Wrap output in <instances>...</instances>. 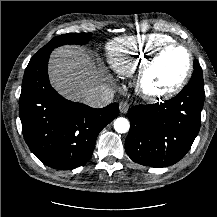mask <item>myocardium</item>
Returning a JSON list of instances; mask_svg holds the SVG:
<instances>
[{
    "label": "myocardium",
    "instance_id": "1",
    "mask_svg": "<svg viewBox=\"0 0 217 217\" xmlns=\"http://www.w3.org/2000/svg\"><path fill=\"white\" fill-rule=\"evenodd\" d=\"M170 49L183 50L188 58L187 69L181 78L169 89L163 91H153L147 85L149 74L156 65L161 56ZM194 69L193 55L188 47L176 42L166 43L157 48L141 65L135 79V88L137 93L145 100L150 102H157L169 99L177 95L190 80Z\"/></svg>",
    "mask_w": 217,
    "mask_h": 217
}]
</instances>
